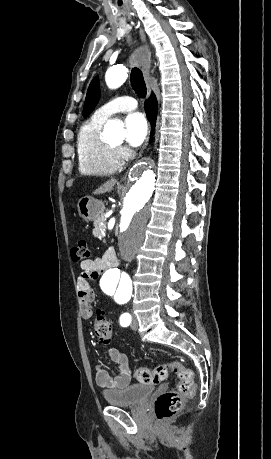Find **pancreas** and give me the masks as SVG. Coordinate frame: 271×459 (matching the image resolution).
I'll return each mask as SVG.
<instances>
[{"label": "pancreas", "instance_id": "pancreas-1", "mask_svg": "<svg viewBox=\"0 0 271 459\" xmlns=\"http://www.w3.org/2000/svg\"><path fill=\"white\" fill-rule=\"evenodd\" d=\"M106 221L104 219H99L97 224H95L94 235L97 239H102L105 235V229L103 228Z\"/></svg>", "mask_w": 271, "mask_h": 459}]
</instances>
